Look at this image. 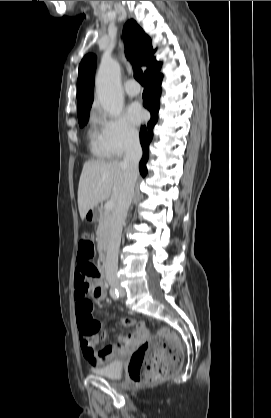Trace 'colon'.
<instances>
[{"mask_svg": "<svg viewBox=\"0 0 271 418\" xmlns=\"http://www.w3.org/2000/svg\"><path fill=\"white\" fill-rule=\"evenodd\" d=\"M95 253L96 248L91 235L83 232L79 240L78 261H91ZM182 358L177 336L162 328L132 354L128 366L129 376L135 383L167 378L180 369Z\"/></svg>", "mask_w": 271, "mask_h": 418, "instance_id": "1", "label": "colon"}]
</instances>
